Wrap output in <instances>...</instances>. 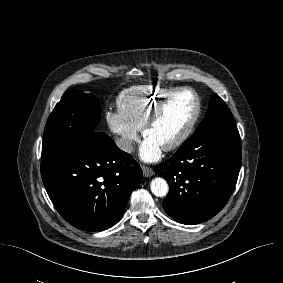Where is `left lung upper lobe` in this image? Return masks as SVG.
Instances as JSON below:
<instances>
[{
	"label": "left lung upper lobe",
	"mask_w": 283,
	"mask_h": 283,
	"mask_svg": "<svg viewBox=\"0 0 283 283\" xmlns=\"http://www.w3.org/2000/svg\"><path fill=\"white\" fill-rule=\"evenodd\" d=\"M235 119L223 100L214 94L209 101L206 115L194 134L227 126H235Z\"/></svg>",
	"instance_id": "1"
}]
</instances>
